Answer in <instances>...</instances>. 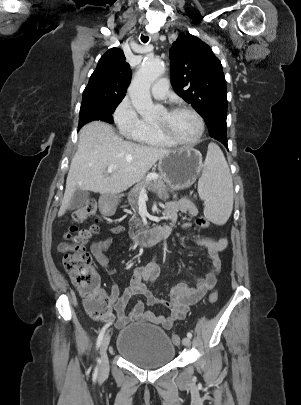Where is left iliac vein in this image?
<instances>
[{
  "mask_svg": "<svg viewBox=\"0 0 301 405\" xmlns=\"http://www.w3.org/2000/svg\"><path fill=\"white\" fill-rule=\"evenodd\" d=\"M182 343H183L184 346L190 347V345H191V340H190L189 337H185V338H183Z\"/></svg>",
  "mask_w": 301,
  "mask_h": 405,
  "instance_id": "1",
  "label": "left iliac vein"
}]
</instances>
